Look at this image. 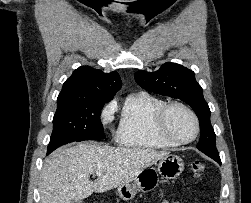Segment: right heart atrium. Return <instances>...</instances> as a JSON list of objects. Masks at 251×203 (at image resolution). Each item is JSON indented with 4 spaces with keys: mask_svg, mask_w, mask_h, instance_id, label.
I'll list each match as a JSON object with an SVG mask.
<instances>
[{
    "mask_svg": "<svg viewBox=\"0 0 251 203\" xmlns=\"http://www.w3.org/2000/svg\"><path fill=\"white\" fill-rule=\"evenodd\" d=\"M115 103H111L110 105H108L103 114H102V117H103V122L104 123H109L112 121L113 119V113L115 111Z\"/></svg>",
    "mask_w": 251,
    "mask_h": 203,
    "instance_id": "d8ad5b80",
    "label": "right heart atrium"
}]
</instances>
